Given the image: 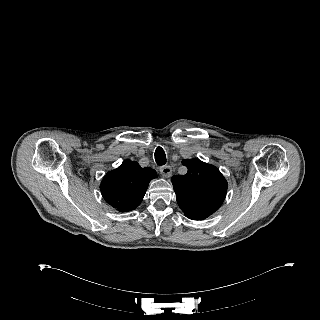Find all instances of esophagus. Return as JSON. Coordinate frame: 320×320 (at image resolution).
Returning <instances> with one entry per match:
<instances>
[{
    "label": "esophagus",
    "instance_id": "34e87169",
    "mask_svg": "<svg viewBox=\"0 0 320 320\" xmlns=\"http://www.w3.org/2000/svg\"><path fill=\"white\" fill-rule=\"evenodd\" d=\"M159 170H160V173L166 178L170 177L172 174L171 167L167 165L161 166Z\"/></svg>",
    "mask_w": 320,
    "mask_h": 320
}]
</instances>
